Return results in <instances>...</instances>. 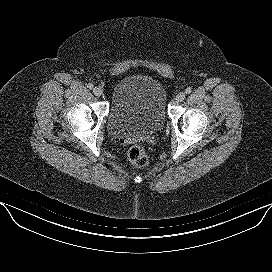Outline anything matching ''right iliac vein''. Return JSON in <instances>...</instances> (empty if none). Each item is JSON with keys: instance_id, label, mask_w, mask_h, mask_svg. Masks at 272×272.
<instances>
[{"instance_id": "1", "label": "right iliac vein", "mask_w": 272, "mask_h": 272, "mask_svg": "<svg viewBox=\"0 0 272 272\" xmlns=\"http://www.w3.org/2000/svg\"><path fill=\"white\" fill-rule=\"evenodd\" d=\"M93 93L96 96H101L103 94V89L101 87L96 86L93 88Z\"/></svg>"}]
</instances>
